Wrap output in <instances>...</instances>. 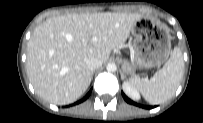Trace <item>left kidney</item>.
<instances>
[{
	"label": "left kidney",
	"mask_w": 203,
	"mask_h": 123,
	"mask_svg": "<svg viewBox=\"0 0 203 123\" xmlns=\"http://www.w3.org/2000/svg\"><path fill=\"white\" fill-rule=\"evenodd\" d=\"M123 91L125 94L130 97L133 100H139L140 99V94L137 91V89L128 81L123 82Z\"/></svg>",
	"instance_id": "5707ae66"
}]
</instances>
